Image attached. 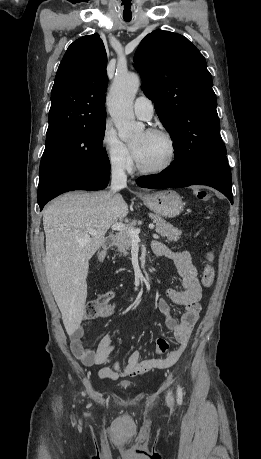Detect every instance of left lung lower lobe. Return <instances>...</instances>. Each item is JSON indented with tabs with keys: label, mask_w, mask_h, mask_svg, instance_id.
Returning <instances> with one entry per match:
<instances>
[{
	"label": "left lung lower lobe",
	"mask_w": 261,
	"mask_h": 459,
	"mask_svg": "<svg viewBox=\"0 0 261 459\" xmlns=\"http://www.w3.org/2000/svg\"><path fill=\"white\" fill-rule=\"evenodd\" d=\"M137 184L152 189L207 185L222 192L233 203L231 170L226 155L200 161L186 172L169 166L158 175L139 178Z\"/></svg>",
	"instance_id": "0a47b994"
}]
</instances>
